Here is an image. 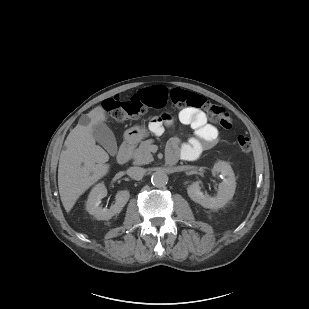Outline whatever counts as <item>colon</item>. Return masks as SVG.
<instances>
[{"instance_id": "colon-1", "label": "colon", "mask_w": 309, "mask_h": 309, "mask_svg": "<svg viewBox=\"0 0 309 309\" xmlns=\"http://www.w3.org/2000/svg\"><path fill=\"white\" fill-rule=\"evenodd\" d=\"M169 100L178 108L202 109L221 127L225 129L232 127V118L224 108L211 103L201 94L182 88L151 87L142 90L128 100H121L119 97L109 98L103 102V108L113 119L121 122L138 117L151 108L161 109ZM236 144L241 152L246 153L251 150V142L247 136L238 135Z\"/></svg>"}]
</instances>
